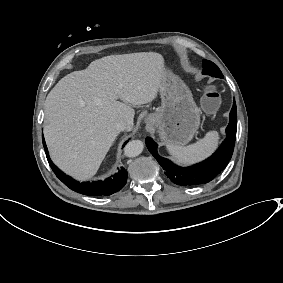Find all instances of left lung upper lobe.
<instances>
[{
	"instance_id": "obj_1",
	"label": "left lung upper lobe",
	"mask_w": 283,
	"mask_h": 283,
	"mask_svg": "<svg viewBox=\"0 0 283 283\" xmlns=\"http://www.w3.org/2000/svg\"><path fill=\"white\" fill-rule=\"evenodd\" d=\"M203 74L205 75H211L214 77L222 78L223 75L218 68L217 65H215L213 62L208 61V60H203Z\"/></svg>"
}]
</instances>
